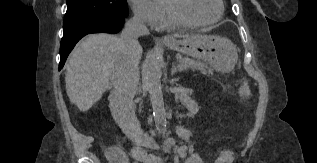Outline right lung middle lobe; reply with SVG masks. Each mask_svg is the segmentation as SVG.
<instances>
[{
    "label": "right lung middle lobe",
    "mask_w": 317,
    "mask_h": 163,
    "mask_svg": "<svg viewBox=\"0 0 317 163\" xmlns=\"http://www.w3.org/2000/svg\"><path fill=\"white\" fill-rule=\"evenodd\" d=\"M104 16L126 17V0H67L63 30Z\"/></svg>",
    "instance_id": "right-lung-middle-lobe-1"
}]
</instances>
